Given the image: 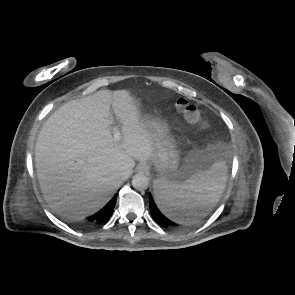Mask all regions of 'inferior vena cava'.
<instances>
[{"label": "inferior vena cava", "mask_w": 295, "mask_h": 295, "mask_svg": "<svg viewBox=\"0 0 295 295\" xmlns=\"http://www.w3.org/2000/svg\"><path fill=\"white\" fill-rule=\"evenodd\" d=\"M125 178H126L125 176L122 177V179H125Z\"/></svg>", "instance_id": "602c4592"}]
</instances>
